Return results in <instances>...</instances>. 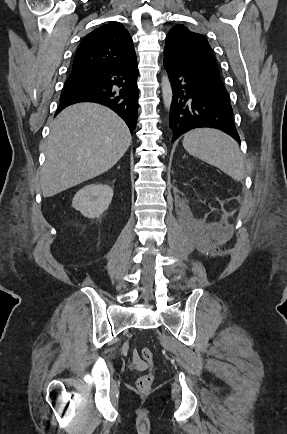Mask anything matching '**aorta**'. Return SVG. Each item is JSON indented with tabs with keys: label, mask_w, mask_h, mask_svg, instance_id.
I'll return each instance as SVG.
<instances>
[{
	"label": "aorta",
	"mask_w": 287,
	"mask_h": 434,
	"mask_svg": "<svg viewBox=\"0 0 287 434\" xmlns=\"http://www.w3.org/2000/svg\"><path fill=\"white\" fill-rule=\"evenodd\" d=\"M161 86H162V97L164 101V106L166 107V109H169L173 99V92H172L171 83L169 81L166 72L163 73L162 75Z\"/></svg>",
	"instance_id": "1"
}]
</instances>
